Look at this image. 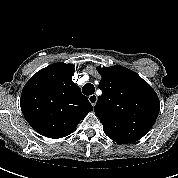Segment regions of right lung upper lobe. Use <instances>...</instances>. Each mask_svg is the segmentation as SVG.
Returning <instances> with one entry per match:
<instances>
[{
    "label": "right lung upper lobe",
    "instance_id": "cb5924a9",
    "mask_svg": "<svg viewBox=\"0 0 178 178\" xmlns=\"http://www.w3.org/2000/svg\"><path fill=\"white\" fill-rule=\"evenodd\" d=\"M74 65L63 62L38 71L21 94V110L31 127L49 138H62L93 110L72 81Z\"/></svg>",
    "mask_w": 178,
    "mask_h": 178
}]
</instances>
